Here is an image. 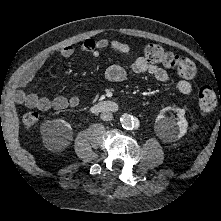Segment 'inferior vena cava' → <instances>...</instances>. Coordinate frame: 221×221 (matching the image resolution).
<instances>
[{
    "label": "inferior vena cava",
    "instance_id": "inferior-vena-cava-1",
    "mask_svg": "<svg viewBox=\"0 0 221 221\" xmlns=\"http://www.w3.org/2000/svg\"><path fill=\"white\" fill-rule=\"evenodd\" d=\"M100 118L103 120V121H110L113 119V115L111 112L109 111H103L100 115Z\"/></svg>",
    "mask_w": 221,
    "mask_h": 221
}]
</instances>
